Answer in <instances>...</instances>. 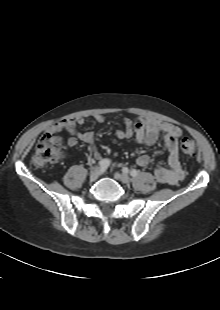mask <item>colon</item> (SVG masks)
<instances>
[{"mask_svg":"<svg viewBox=\"0 0 220 310\" xmlns=\"http://www.w3.org/2000/svg\"><path fill=\"white\" fill-rule=\"evenodd\" d=\"M181 150L187 155H192L196 151L194 141L189 137L181 140ZM62 149V138L56 133L48 132L38 140L33 154V163L37 166L52 164L58 160Z\"/></svg>","mask_w":220,"mask_h":310,"instance_id":"5ec220e1","label":"colon"}]
</instances>
